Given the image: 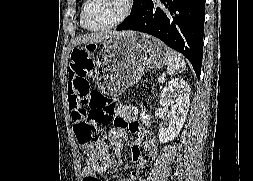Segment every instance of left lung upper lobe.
Masks as SVG:
<instances>
[{"mask_svg":"<svg viewBox=\"0 0 253 181\" xmlns=\"http://www.w3.org/2000/svg\"><path fill=\"white\" fill-rule=\"evenodd\" d=\"M78 1H79V0H76V2H78ZM137 1H138V0H136V2H137ZM136 2H135V3H136ZM135 3L133 4V6L135 5ZM133 6H132V9H133Z\"/></svg>","mask_w":253,"mask_h":181,"instance_id":"5c2ea615","label":"left lung upper lobe"}]
</instances>
